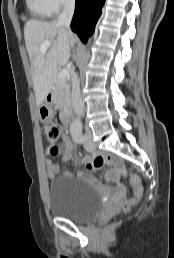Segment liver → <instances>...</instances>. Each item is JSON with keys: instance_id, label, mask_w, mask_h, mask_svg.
<instances>
[{"instance_id": "1", "label": "liver", "mask_w": 174, "mask_h": 258, "mask_svg": "<svg viewBox=\"0 0 174 258\" xmlns=\"http://www.w3.org/2000/svg\"><path fill=\"white\" fill-rule=\"evenodd\" d=\"M24 38L31 63L36 105L40 107L53 89L58 67L68 64L75 36L55 21L30 20L24 27ZM44 41H50L52 45L42 54L40 47Z\"/></svg>"}]
</instances>
